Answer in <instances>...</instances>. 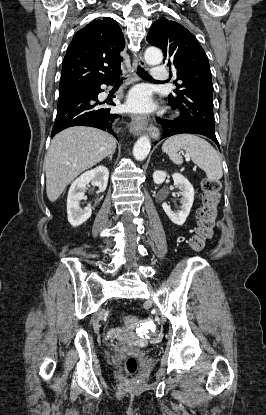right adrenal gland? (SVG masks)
<instances>
[{
  "instance_id": "2a0ac1e0",
  "label": "right adrenal gland",
  "mask_w": 266,
  "mask_h": 415,
  "mask_svg": "<svg viewBox=\"0 0 266 415\" xmlns=\"http://www.w3.org/2000/svg\"><path fill=\"white\" fill-rule=\"evenodd\" d=\"M112 157H113V154H110V155L108 156V158H109V160H110V161H112Z\"/></svg>"
}]
</instances>
